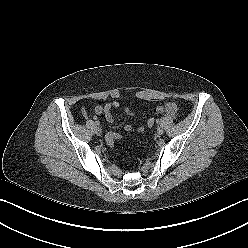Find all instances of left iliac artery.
<instances>
[{"mask_svg":"<svg viewBox=\"0 0 248 248\" xmlns=\"http://www.w3.org/2000/svg\"><path fill=\"white\" fill-rule=\"evenodd\" d=\"M160 121L159 120H156V123H159Z\"/></svg>","mask_w":248,"mask_h":248,"instance_id":"1","label":"left iliac artery"}]
</instances>
